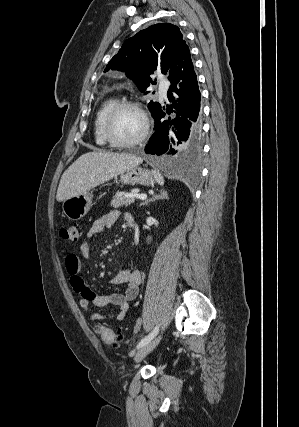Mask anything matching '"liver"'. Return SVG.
Masks as SVG:
<instances>
[{"label": "liver", "instance_id": "1", "mask_svg": "<svg viewBox=\"0 0 299 427\" xmlns=\"http://www.w3.org/2000/svg\"><path fill=\"white\" fill-rule=\"evenodd\" d=\"M139 156L93 151L81 155L63 173L56 199L58 202L82 194L141 164Z\"/></svg>", "mask_w": 299, "mask_h": 427}]
</instances>
